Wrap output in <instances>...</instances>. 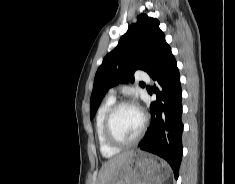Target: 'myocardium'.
I'll use <instances>...</instances> for the list:
<instances>
[{
    "mask_svg": "<svg viewBox=\"0 0 235 184\" xmlns=\"http://www.w3.org/2000/svg\"><path fill=\"white\" fill-rule=\"evenodd\" d=\"M123 107H134L138 109L142 115V126L140 128V131L138 132L136 137H134L131 140L120 139L115 134L114 128H113V120H114L115 114ZM148 124H149V118L144 111H142L139 107H137L132 102L120 101V102L115 103L107 112L105 122H104L105 138L112 147L117 148V149L132 146L138 143L142 139V137L145 134Z\"/></svg>",
    "mask_w": 235,
    "mask_h": 184,
    "instance_id": "f54148a6",
    "label": "myocardium"
}]
</instances>
